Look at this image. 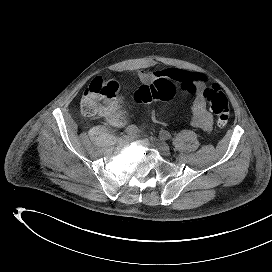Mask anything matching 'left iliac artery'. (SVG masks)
I'll return each mask as SVG.
<instances>
[{"instance_id":"44dca946","label":"left iliac artery","mask_w":272,"mask_h":272,"mask_svg":"<svg viewBox=\"0 0 272 272\" xmlns=\"http://www.w3.org/2000/svg\"><path fill=\"white\" fill-rule=\"evenodd\" d=\"M160 138L163 140L171 139V134L168 131L162 130L160 131Z\"/></svg>"}]
</instances>
